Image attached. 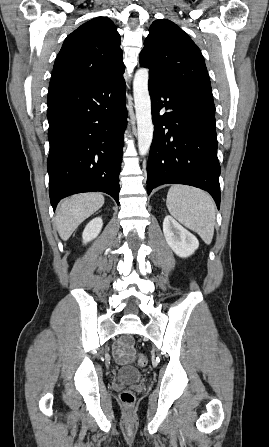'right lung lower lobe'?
Wrapping results in <instances>:
<instances>
[{"label":"right lung lower lobe","instance_id":"right-lung-lower-lobe-1","mask_svg":"<svg viewBox=\"0 0 269 447\" xmlns=\"http://www.w3.org/2000/svg\"><path fill=\"white\" fill-rule=\"evenodd\" d=\"M123 74L97 85L61 87L48 93L49 194L58 202L101 191L119 204L127 110Z\"/></svg>","mask_w":269,"mask_h":447}]
</instances>
